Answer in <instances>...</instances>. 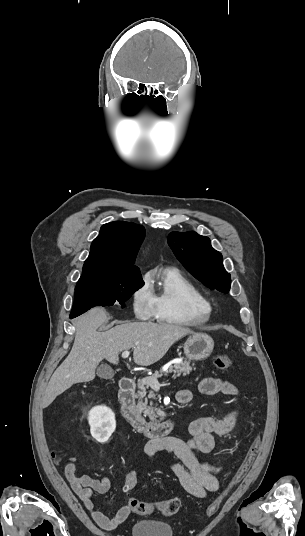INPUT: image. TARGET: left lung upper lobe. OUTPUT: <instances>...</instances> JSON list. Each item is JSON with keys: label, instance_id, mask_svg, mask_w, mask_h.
Returning a JSON list of instances; mask_svg holds the SVG:
<instances>
[{"label": "left lung upper lobe", "instance_id": "5c2ea615", "mask_svg": "<svg viewBox=\"0 0 305 536\" xmlns=\"http://www.w3.org/2000/svg\"><path fill=\"white\" fill-rule=\"evenodd\" d=\"M168 244L195 278L212 289L229 292L230 274L223 267L221 253L211 247L208 237L195 232H173L168 236Z\"/></svg>", "mask_w": 305, "mask_h": 536}]
</instances>
